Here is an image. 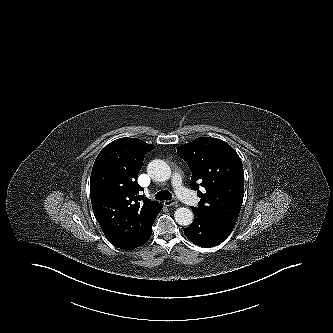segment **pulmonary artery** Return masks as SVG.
Returning a JSON list of instances; mask_svg holds the SVG:
<instances>
[{
    "label": "pulmonary artery",
    "mask_w": 333,
    "mask_h": 333,
    "mask_svg": "<svg viewBox=\"0 0 333 333\" xmlns=\"http://www.w3.org/2000/svg\"><path fill=\"white\" fill-rule=\"evenodd\" d=\"M173 187L176 191L177 196L183 202L190 206H196L198 203V198L193 195L181 182V177L179 175H175L172 181Z\"/></svg>",
    "instance_id": "e3ab8cb5"
}]
</instances>
